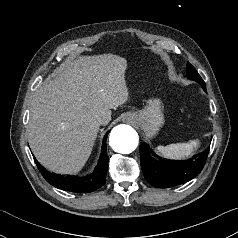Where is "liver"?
Listing matches in <instances>:
<instances>
[{
  "label": "liver",
  "instance_id": "obj_1",
  "mask_svg": "<svg viewBox=\"0 0 238 238\" xmlns=\"http://www.w3.org/2000/svg\"><path fill=\"white\" fill-rule=\"evenodd\" d=\"M127 60L113 54L83 56L68 62L40 86L30 104L27 135L37 160L50 171L77 174L87 162L97 121L129 98Z\"/></svg>",
  "mask_w": 238,
  "mask_h": 238
}]
</instances>
